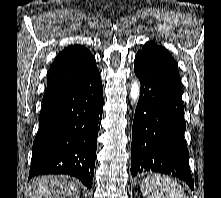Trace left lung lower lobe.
Masks as SVG:
<instances>
[{
  "label": "left lung lower lobe",
  "mask_w": 221,
  "mask_h": 198,
  "mask_svg": "<svg viewBox=\"0 0 221 198\" xmlns=\"http://www.w3.org/2000/svg\"><path fill=\"white\" fill-rule=\"evenodd\" d=\"M134 72L140 79L141 92L132 128L131 174H172L194 189L184 141L181 85L139 54L135 57Z\"/></svg>",
  "instance_id": "left-lung-lower-lobe-1"
}]
</instances>
